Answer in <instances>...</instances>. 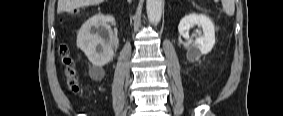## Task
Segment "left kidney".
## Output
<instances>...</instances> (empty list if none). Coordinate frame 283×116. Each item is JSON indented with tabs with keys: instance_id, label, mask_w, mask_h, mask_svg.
<instances>
[{
	"instance_id": "left-kidney-1",
	"label": "left kidney",
	"mask_w": 283,
	"mask_h": 116,
	"mask_svg": "<svg viewBox=\"0 0 283 116\" xmlns=\"http://www.w3.org/2000/svg\"><path fill=\"white\" fill-rule=\"evenodd\" d=\"M194 25L202 27L203 34L190 38L189 30ZM179 34L188 41L187 59L198 60L202 55L208 54L215 44L214 24L204 14L191 13L183 17L178 26Z\"/></svg>"
}]
</instances>
